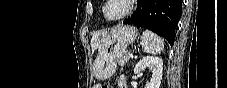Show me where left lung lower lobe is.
Masks as SVG:
<instances>
[{
    "label": "left lung lower lobe",
    "mask_w": 227,
    "mask_h": 88,
    "mask_svg": "<svg viewBox=\"0 0 227 88\" xmlns=\"http://www.w3.org/2000/svg\"><path fill=\"white\" fill-rule=\"evenodd\" d=\"M182 12V0H138L136 12L123 21L164 37L172 46L175 29Z\"/></svg>",
    "instance_id": "0a47b994"
}]
</instances>
